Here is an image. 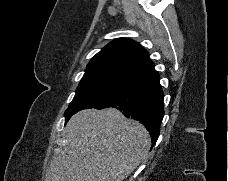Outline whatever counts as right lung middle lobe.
Instances as JSON below:
<instances>
[{
  "label": "right lung middle lobe",
  "mask_w": 228,
  "mask_h": 181,
  "mask_svg": "<svg viewBox=\"0 0 228 181\" xmlns=\"http://www.w3.org/2000/svg\"><path fill=\"white\" fill-rule=\"evenodd\" d=\"M130 81L128 79L109 76L83 77L72 102L65 111V122L79 110L94 108L111 100Z\"/></svg>",
  "instance_id": "obj_1"
}]
</instances>
